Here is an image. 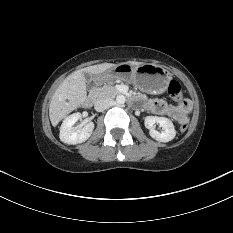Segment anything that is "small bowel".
Masks as SVG:
<instances>
[{
	"label": "small bowel",
	"mask_w": 233,
	"mask_h": 233,
	"mask_svg": "<svg viewBox=\"0 0 233 233\" xmlns=\"http://www.w3.org/2000/svg\"><path fill=\"white\" fill-rule=\"evenodd\" d=\"M145 107L154 114L171 117L178 123L186 119L187 114L191 110V105L188 101L172 106L163 100H149L145 103Z\"/></svg>",
	"instance_id": "c3829d8e"
}]
</instances>
